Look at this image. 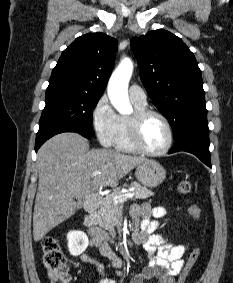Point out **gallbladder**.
I'll return each instance as SVG.
<instances>
[{
  "mask_svg": "<svg viewBox=\"0 0 233 283\" xmlns=\"http://www.w3.org/2000/svg\"><path fill=\"white\" fill-rule=\"evenodd\" d=\"M82 205H83L82 201L79 200V201H78V209L82 208Z\"/></svg>",
  "mask_w": 233,
  "mask_h": 283,
  "instance_id": "1",
  "label": "gallbladder"
}]
</instances>
